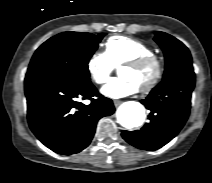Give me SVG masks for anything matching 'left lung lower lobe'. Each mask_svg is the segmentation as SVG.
Wrapping results in <instances>:
<instances>
[{
    "label": "left lung lower lobe",
    "mask_w": 212,
    "mask_h": 183,
    "mask_svg": "<svg viewBox=\"0 0 212 183\" xmlns=\"http://www.w3.org/2000/svg\"><path fill=\"white\" fill-rule=\"evenodd\" d=\"M195 85L192 64L163 79L141 103L150 110L148 124L141 130L122 131V137L143 150H156L171 141L184 126L190 112Z\"/></svg>",
    "instance_id": "0a47b994"
}]
</instances>
